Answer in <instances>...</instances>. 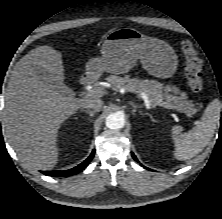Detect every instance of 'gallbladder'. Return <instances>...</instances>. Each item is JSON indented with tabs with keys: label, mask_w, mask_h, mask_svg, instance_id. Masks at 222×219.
I'll use <instances>...</instances> for the list:
<instances>
[{
	"label": "gallbladder",
	"mask_w": 222,
	"mask_h": 219,
	"mask_svg": "<svg viewBox=\"0 0 222 219\" xmlns=\"http://www.w3.org/2000/svg\"><path fill=\"white\" fill-rule=\"evenodd\" d=\"M35 71L37 75L40 77L41 81L51 86L55 91L65 95L71 94V90L65 84H63L62 81L56 79L44 69L35 68Z\"/></svg>",
	"instance_id": "gallbladder-1"
}]
</instances>
